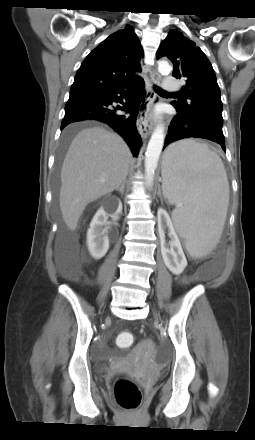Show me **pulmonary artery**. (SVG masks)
I'll use <instances>...</instances> for the list:
<instances>
[{
  "instance_id": "pulmonary-artery-1",
  "label": "pulmonary artery",
  "mask_w": 255,
  "mask_h": 440,
  "mask_svg": "<svg viewBox=\"0 0 255 440\" xmlns=\"http://www.w3.org/2000/svg\"><path fill=\"white\" fill-rule=\"evenodd\" d=\"M164 88L168 92H176L179 89V85L174 77L167 76L164 81Z\"/></svg>"
}]
</instances>
